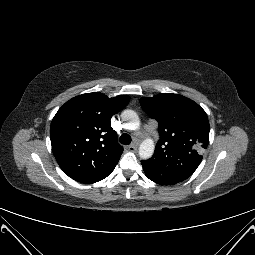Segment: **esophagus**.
Masks as SVG:
<instances>
[{"label":"esophagus","mask_w":255,"mask_h":255,"mask_svg":"<svg viewBox=\"0 0 255 255\" xmlns=\"http://www.w3.org/2000/svg\"><path fill=\"white\" fill-rule=\"evenodd\" d=\"M137 148H138V145H137V144H132V145L127 146V149H128L130 152H136V151H137Z\"/></svg>","instance_id":"esophagus-1"}]
</instances>
